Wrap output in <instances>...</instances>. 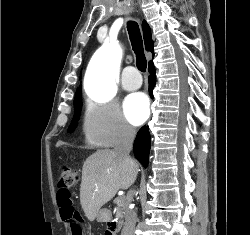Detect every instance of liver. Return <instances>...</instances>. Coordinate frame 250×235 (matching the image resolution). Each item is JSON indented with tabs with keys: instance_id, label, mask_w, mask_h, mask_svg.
<instances>
[{
	"instance_id": "liver-1",
	"label": "liver",
	"mask_w": 250,
	"mask_h": 235,
	"mask_svg": "<svg viewBox=\"0 0 250 235\" xmlns=\"http://www.w3.org/2000/svg\"><path fill=\"white\" fill-rule=\"evenodd\" d=\"M138 164L127 163L114 150H98L83 164L80 202L89 221H94L100 208L119 189H128L135 181Z\"/></svg>"
}]
</instances>
